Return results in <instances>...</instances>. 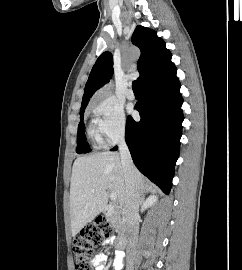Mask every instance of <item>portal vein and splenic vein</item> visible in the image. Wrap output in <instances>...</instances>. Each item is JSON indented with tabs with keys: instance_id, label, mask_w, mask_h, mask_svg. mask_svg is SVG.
Returning <instances> with one entry per match:
<instances>
[{
	"instance_id": "1",
	"label": "portal vein and splenic vein",
	"mask_w": 242,
	"mask_h": 270,
	"mask_svg": "<svg viewBox=\"0 0 242 270\" xmlns=\"http://www.w3.org/2000/svg\"><path fill=\"white\" fill-rule=\"evenodd\" d=\"M109 197H110V199L113 200V201L117 200V195H116L115 193H110V194H109Z\"/></svg>"
}]
</instances>
